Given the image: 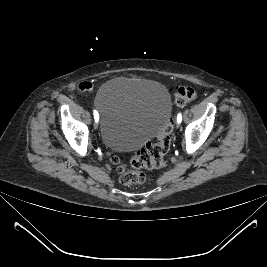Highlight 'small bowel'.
Returning a JSON list of instances; mask_svg holds the SVG:
<instances>
[{"label": "small bowel", "instance_id": "c3829d8e", "mask_svg": "<svg viewBox=\"0 0 267 267\" xmlns=\"http://www.w3.org/2000/svg\"><path fill=\"white\" fill-rule=\"evenodd\" d=\"M91 88V84L89 82H82L79 84V90L82 92L89 91Z\"/></svg>", "mask_w": 267, "mask_h": 267}]
</instances>
